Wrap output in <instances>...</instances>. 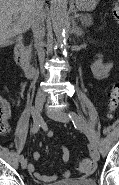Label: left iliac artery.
Listing matches in <instances>:
<instances>
[{
	"label": "left iliac artery",
	"mask_w": 119,
	"mask_h": 185,
	"mask_svg": "<svg viewBox=\"0 0 119 185\" xmlns=\"http://www.w3.org/2000/svg\"><path fill=\"white\" fill-rule=\"evenodd\" d=\"M69 117L72 120L75 128L81 130L82 132H84L86 134V136L88 137L90 143L92 146H95L94 141L91 137L90 131L86 125V123L84 122V120L75 112H69Z\"/></svg>",
	"instance_id": "1"
}]
</instances>
